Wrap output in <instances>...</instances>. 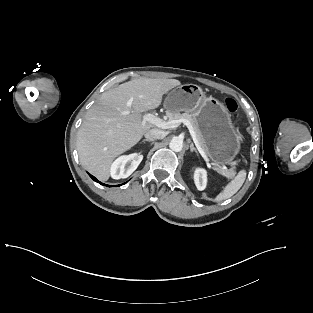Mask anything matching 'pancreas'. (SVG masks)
Here are the masks:
<instances>
[{"instance_id": "1", "label": "pancreas", "mask_w": 313, "mask_h": 313, "mask_svg": "<svg viewBox=\"0 0 313 313\" xmlns=\"http://www.w3.org/2000/svg\"><path fill=\"white\" fill-rule=\"evenodd\" d=\"M169 119L170 120H173V119H186L188 120L193 128H194V131L196 133V137L202 147V149L206 152V146L205 144L203 143V140H202V136L200 134V130H199V127H198V124H197V121L196 119L189 113L185 112V113H177V114H174V115H169ZM222 173L227 176L228 178H232L234 175H235V171L234 170H222Z\"/></svg>"}]
</instances>
